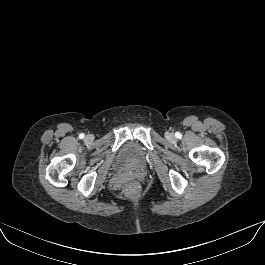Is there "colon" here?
<instances>
[{
  "instance_id": "obj_1",
  "label": "colon",
  "mask_w": 265,
  "mask_h": 265,
  "mask_svg": "<svg viewBox=\"0 0 265 265\" xmlns=\"http://www.w3.org/2000/svg\"><path fill=\"white\" fill-rule=\"evenodd\" d=\"M138 191V187L136 184H129L125 187L124 192L128 196H134Z\"/></svg>"
}]
</instances>
